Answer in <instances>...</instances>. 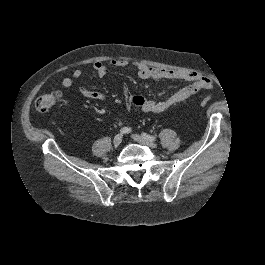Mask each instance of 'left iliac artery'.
I'll return each instance as SVG.
<instances>
[{"label":"left iliac artery","mask_w":265,"mask_h":265,"mask_svg":"<svg viewBox=\"0 0 265 265\" xmlns=\"http://www.w3.org/2000/svg\"><path fill=\"white\" fill-rule=\"evenodd\" d=\"M142 135L145 136V137H150V138H152L153 140H156V137H155V136H151V135H148V134H146V133H142Z\"/></svg>","instance_id":"1"}]
</instances>
